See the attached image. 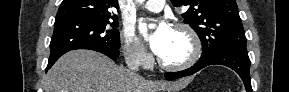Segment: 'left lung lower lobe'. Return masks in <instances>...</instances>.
Here are the masks:
<instances>
[{
    "instance_id": "left-lung-lower-lobe-1",
    "label": "left lung lower lobe",
    "mask_w": 289,
    "mask_h": 92,
    "mask_svg": "<svg viewBox=\"0 0 289 92\" xmlns=\"http://www.w3.org/2000/svg\"><path fill=\"white\" fill-rule=\"evenodd\" d=\"M224 65L238 73L241 77L247 92H252L250 80V59L246 48L229 47L220 49L206 56H202L192 67L178 71L165 73V78L175 80L184 76L192 75L209 65Z\"/></svg>"
}]
</instances>
